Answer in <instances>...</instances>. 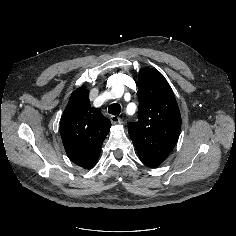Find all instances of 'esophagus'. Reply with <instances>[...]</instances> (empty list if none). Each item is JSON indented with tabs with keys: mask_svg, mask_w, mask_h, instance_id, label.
<instances>
[{
	"mask_svg": "<svg viewBox=\"0 0 236 236\" xmlns=\"http://www.w3.org/2000/svg\"><path fill=\"white\" fill-rule=\"evenodd\" d=\"M110 120H111L112 124H121V122H122L121 119L116 115H112L110 117Z\"/></svg>",
	"mask_w": 236,
	"mask_h": 236,
	"instance_id": "esophagus-1",
	"label": "esophagus"
}]
</instances>
